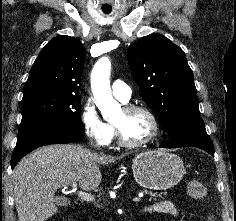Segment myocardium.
Wrapping results in <instances>:
<instances>
[{
    "instance_id": "1",
    "label": "myocardium",
    "mask_w": 236,
    "mask_h": 221,
    "mask_svg": "<svg viewBox=\"0 0 236 221\" xmlns=\"http://www.w3.org/2000/svg\"><path fill=\"white\" fill-rule=\"evenodd\" d=\"M123 111L127 114H131V113H135V112L145 113L150 118V120L152 122L153 130L148 138H146L142 141H138V142H131V141L126 140L123 137L119 126L116 123H113V127L115 130V134H116L118 143L121 146L126 147V148H141V147L151 144L152 142H154L158 138V136L160 135V132H161V126H160V122H159L157 115L155 114V112L152 109H150L149 107L144 106V105H126L125 107H123Z\"/></svg>"
}]
</instances>
